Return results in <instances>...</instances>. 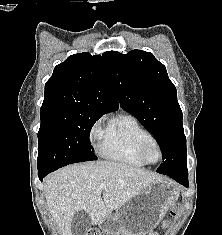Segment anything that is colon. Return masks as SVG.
Instances as JSON below:
<instances>
[{
  "label": "colon",
  "mask_w": 222,
  "mask_h": 235,
  "mask_svg": "<svg viewBox=\"0 0 222 235\" xmlns=\"http://www.w3.org/2000/svg\"><path fill=\"white\" fill-rule=\"evenodd\" d=\"M88 235H106V234L104 232L94 231V232H90Z\"/></svg>",
  "instance_id": "5ec220e1"
}]
</instances>
